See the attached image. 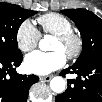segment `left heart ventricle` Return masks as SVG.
<instances>
[{
  "instance_id": "obj_1",
  "label": "left heart ventricle",
  "mask_w": 102,
  "mask_h": 102,
  "mask_svg": "<svg viewBox=\"0 0 102 102\" xmlns=\"http://www.w3.org/2000/svg\"><path fill=\"white\" fill-rule=\"evenodd\" d=\"M51 50L53 51H60L61 53H63L64 55L66 54V52L69 50V47H65L63 45H61L56 39L53 41L52 46H51Z\"/></svg>"
}]
</instances>
